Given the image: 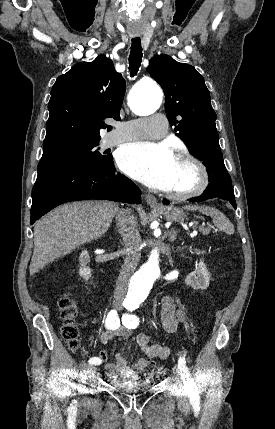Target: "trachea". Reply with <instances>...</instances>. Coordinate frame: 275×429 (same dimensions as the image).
Masks as SVG:
<instances>
[{
    "instance_id": "obj_1",
    "label": "trachea",
    "mask_w": 275,
    "mask_h": 429,
    "mask_svg": "<svg viewBox=\"0 0 275 429\" xmlns=\"http://www.w3.org/2000/svg\"><path fill=\"white\" fill-rule=\"evenodd\" d=\"M142 47L139 37L132 39L131 51L129 55V70L130 76L133 77L137 74L142 61Z\"/></svg>"
}]
</instances>
